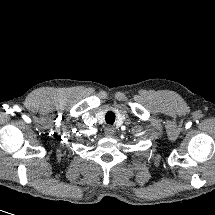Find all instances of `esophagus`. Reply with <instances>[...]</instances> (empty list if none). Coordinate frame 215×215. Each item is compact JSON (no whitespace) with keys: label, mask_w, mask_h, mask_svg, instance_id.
<instances>
[{"label":"esophagus","mask_w":215,"mask_h":215,"mask_svg":"<svg viewBox=\"0 0 215 215\" xmlns=\"http://www.w3.org/2000/svg\"><path fill=\"white\" fill-rule=\"evenodd\" d=\"M114 132H115V129L112 126H107L105 128V135L106 136L111 137V136H113Z\"/></svg>","instance_id":"esophagus-1"}]
</instances>
